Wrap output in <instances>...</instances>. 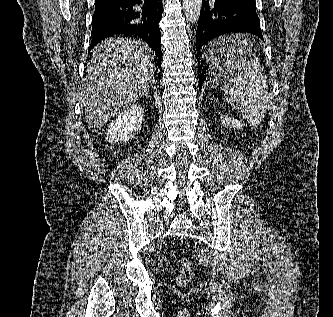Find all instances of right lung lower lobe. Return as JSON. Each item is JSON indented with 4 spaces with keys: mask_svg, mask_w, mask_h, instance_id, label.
Instances as JSON below:
<instances>
[{
    "mask_svg": "<svg viewBox=\"0 0 333 317\" xmlns=\"http://www.w3.org/2000/svg\"><path fill=\"white\" fill-rule=\"evenodd\" d=\"M136 5H141V9H136ZM161 16V0H114L95 3L89 50L107 37L124 34L146 41L161 58V33L158 25ZM159 65L160 61H157L156 66Z\"/></svg>",
    "mask_w": 333,
    "mask_h": 317,
    "instance_id": "98d812e1",
    "label": "right lung lower lobe"
}]
</instances>
